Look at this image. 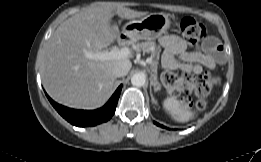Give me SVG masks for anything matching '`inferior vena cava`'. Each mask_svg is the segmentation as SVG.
<instances>
[{"label":"inferior vena cava","instance_id":"602c4592","mask_svg":"<svg viewBox=\"0 0 261 162\" xmlns=\"http://www.w3.org/2000/svg\"><path fill=\"white\" fill-rule=\"evenodd\" d=\"M131 68V62H121L114 66L113 75L115 77H124L128 74Z\"/></svg>","mask_w":261,"mask_h":162}]
</instances>
